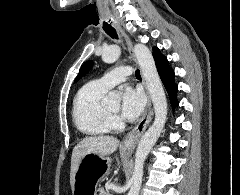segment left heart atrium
<instances>
[{"label":"left heart atrium","mask_w":240,"mask_h":195,"mask_svg":"<svg viewBox=\"0 0 240 195\" xmlns=\"http://www.w3.org/2000/svg\"><path fill=\"white\" fill-rule=\"evenodd\" d=\"M145 106V98L140 90L126 89L122 97V115L130 120H136L142 113Z\"/></svg>","instance_id":"left-heart-atrium-1"}]
</instances>
